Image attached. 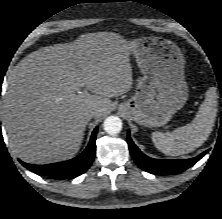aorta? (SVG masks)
Here are the masks:
<instances>
[{"label": "aorta", "mask_w": 222, "mask_h": 219, "mask_svg": "<svg viewBox=\"0 0 222 219\" xmlns=\"http://www.w3.org/2000/svg\"><path fill=\"white\" fill-rule=\"evenodd\" d=\"M103 127L108 134L115 135L121 131L122 121L117 116H109L105 119Z\"/></svg>", "instance_id": "obj_1"}]
</instances>
